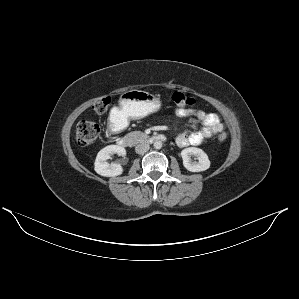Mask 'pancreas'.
Instances as JSON below:
<instances>
[{
	"mask_svg": "<svg viewBox=\"0 0 299 299\" xmlns=\"http://www.w3.org/2000/svg\"><path fill=\"white\" fill-rule=\"evenodd\" d=\"M128 136L134 138L136 142H140L148 138L145 133L140 131L131 132L128 134Z\"/></svg>",
	"mask_w": 299,
	"mask_h": 299,
	"instance_id": "obj_1",
	"label": "pancreas"
}]
</instances>
